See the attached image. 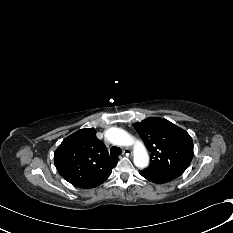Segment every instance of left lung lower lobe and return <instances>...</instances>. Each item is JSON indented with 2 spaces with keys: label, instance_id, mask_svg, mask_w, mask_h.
Returning a JSON list of instances; mask_svg holds the SVG:
<instances>
[{
  "label": "left lung lower lobe",
  "instance_id": "1",
  "mask_svg": "<svg viewBox=\"0 0 233 233\" xmlns=\"http://www.w3.org/2000/svg\"><path fill=\"white\" fill-rule=\"evenodd\" d=\"M139 173L144 177L146 178L147 180L151 181V182H154V183H157V184H162V183H165L157 178H154L152 177L151 175H148L147 173L143 172V171H139Z\"/></svg>",
  "mask_w": 233,
  "mask_h": 233
}]
</instances>
